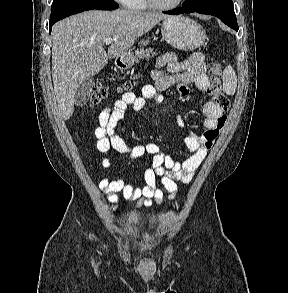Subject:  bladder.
<instances>
[{
    "mask_svg": "<svg viewBox=\"0 0 288 293\" xmlns=\"http://www.w3.org/2000/svg\"><path fill=\"white\" fill-rule=\"evenodd\" d=\"M152 229H153V226L151 225L141 226L139 228L140 231H151Z\"/></svg>",
    "mask_w": 288,
    "mask_h": 293,
    "instance_id": "obj_1",
    "label": "bladder"
}]
</instances>
